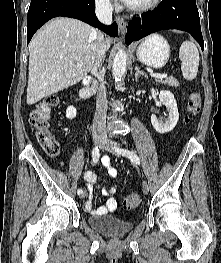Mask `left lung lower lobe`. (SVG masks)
I'll return each instance as SVG.
<instances>
[{"label":"left lung lower lobe","mask_w":221,"mask_h":263,"mask_svg":"<svg viewBox=\"0 0 221 263\" xmlns=\"http://www.w3.org/2000/svg\"><path fill=\"white\" fill-rule=\"evenodd\" d=\"M178 29L189 32L204 49L200 18L195 0H163L157 8L128 23L125 41L130 44L153 32Z\"/></svg>","instance_id":"left-lung-lower-lobe-1"}]
</instances>
